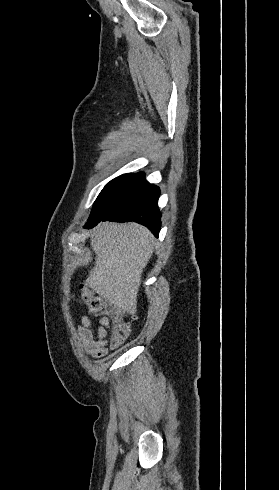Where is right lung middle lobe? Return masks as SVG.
Returning a JSON list of instances; mask_svg holds the SVG:
<instances>
[{"instance_id": "1", "label": "right lung middle lobe", "mask_w": 279, "mask_h": 490, "mask_svg": "<svg viewBox=\"0 0 279 490\" xmlns=\"http://www.w3.org/2000/svg\"><path fill=\"white\" fill-rule=\"evenodd\" d=\"M144 173L136 174H123L113 180H111L100 192L96 201L94 202L93 209L88 221L94 220L101 215H103L107 209L108 202L121 191L137 186L140 184H145Z\"/></svg>"}]
</instances>
